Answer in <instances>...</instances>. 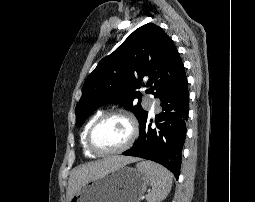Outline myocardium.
<instances>
[{
	"instance_id": "myocardium-1",
	"label": "myocardium",
	"mask_w": 255,
	"mask_h": 202,
	"mask_svg": "<svg viewBox=\"0 0 255 202\" xmlns=\"http://www.w3.org/2000/svg\"><path fill=\"white\" fill-rule=\"evenodd\" d=\"M116 116L122 117L127 120V122L130 125V136H129L127 142L122 147H120L116 150H112V151H100L93 144L92 138H93L94 131L99 126V124L102 123L104 120H106L107 118L116 117ZM138 135H139V124H138L136 118L131 113H129L125 110L117 109V110L105 112V113L101 114L100 116H98L94 120V122L91 124V126L87 132L86 144H87L88 149L94 155L111 156V155L123 153L126 150H128L134 144Z\"/></svg>"
}]
</instances>
